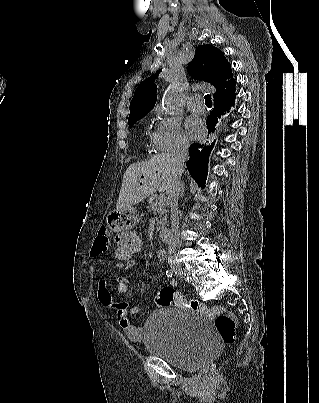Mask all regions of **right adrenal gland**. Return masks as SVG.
<instances>
[{
	"label": "right adrenal gland",
	"instance_id": "right-adrenal-gland-1",
	"mask_svg": "<svg viewBox=\"0 0 319 403\" xmlns=\"http://www.w3.org/2000/svg\"><path fill=\"white\" fill-rule=\"evenodd\" d=\"M184 189H185L184 184H181V187H180V196L181 197L184 195Z\"/></svg>",
	"mask_w": 319,
	"mask_h": 403
}]
</instances>
